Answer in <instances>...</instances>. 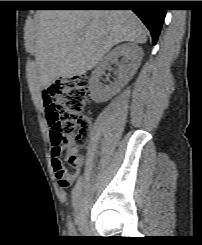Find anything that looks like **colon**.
<instances>
[{"instance_id": "obj_1", "label": "colon", "mask_w": 202, "mask_h": 245, "mask_svg": "<svg viewBox=\"0 0 202 245\" xmlns=\"http://www.w3.org/2000/svg\"><path fill=\"white\" fill-rule=\"evenodd\" d=\"M57 97L54 113L49 117L50 144L59 147L65 136L74 138L73 148L78 149L86 142L90 132V119L86 111L90 100L87 77L60 80L57 85ZM79 157L71 155L68 162L74 166Z\"/></svg>"}]
</instances>
